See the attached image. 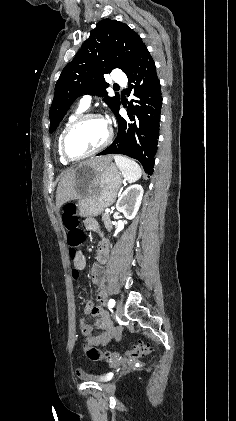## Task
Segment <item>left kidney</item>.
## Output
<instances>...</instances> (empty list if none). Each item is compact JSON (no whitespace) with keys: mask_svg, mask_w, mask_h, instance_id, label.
<instances>
[{"mask_svg":"<svg viewBox=\"0 0 236 421\" xmlns=\"http://www.w3.org/2000/svg\"><path fill=\"white\" fill-rule=\"evenodd\" d=\"M143 192L144 190L141 184H131V186H128V188L120 194L116 202L117 211L123 213L124 217L130 219V221L131 219H134L139 211Z\"/></svg>","mask_w":236,"mask_h":421,"instance_id":"left-kidney-1","label":"left kidney"}]
</instances>
